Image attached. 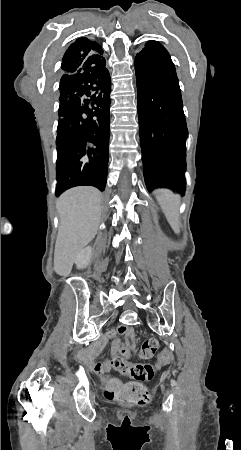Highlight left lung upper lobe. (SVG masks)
Listing matches in <instances>:
<instances>
[{
  "label": "left lung upper lobe",
  "instance_id": "1",
  "mask_svg": "<svg viewBox=\"0 0 241 450\" xmlns=\"http://www.w3.org/2000/svg\"><path fill=\"white\" fill-rule=\"evenodd\" d=\"M158 46H161V44H159V43L156 42V41H149V42H147L146 45H145V47H158Z\"/></svg>",
  "mask_w": 241,
  "mask_h": 450
}]
</instances>
